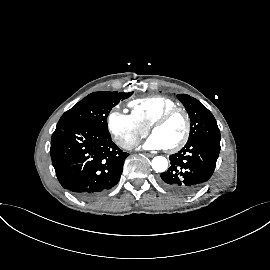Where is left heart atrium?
Masks as SVG:
<instances>
[{
    "mask_svg": "<svg viewBox=\"0 0 270 270\" xmlns=\"http://www.w3.org/2000/svg\"><path fill=\"white\" fill-rule=\"evenodd\" d=\"M144 149L160 150L165 149L163 142L156 135L152 134L142 145Z\"/></svg>",
    "mask_w": 270,
    "mask_h": 270,
    "instance_id": "obj_1",
    "label": "left heart atrium"
}]
</instances>
